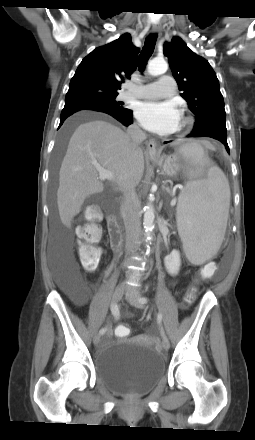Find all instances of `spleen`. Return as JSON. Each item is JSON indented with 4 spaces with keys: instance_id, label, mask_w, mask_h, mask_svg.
<instances>
[{
    "instance_id": "obj_1",
    "label": "spleen",
    "mask_w": 255,
    "mask_h": 440,
    "mask_svg": "<svg viewBox=\"0 0 255 440\" xmlns=\"http://www.w3.org/2000/svg\"><path fill=\"white\" fill-rule=\"evenodd\" d=\"M183 156L195 169L188 174H202L211 165L204 149L197 144L181 148ZM230 205L228 181L217 166H211L203 180H190L179 195L177 227L187 258L202 264L215 255L224 238Z\"/></svg>"
}]
</instances>
